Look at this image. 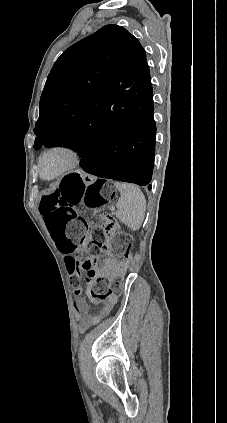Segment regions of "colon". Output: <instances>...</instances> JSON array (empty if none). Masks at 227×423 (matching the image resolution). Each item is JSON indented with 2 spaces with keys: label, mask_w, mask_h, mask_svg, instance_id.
<instances>
[{
  "label": "colon",
  "mask_w": 227,
  "mask_h": 423,
  "mask_svg": "<svg viewBox=\"0 0 227 423\" xmlns=\"http://www.w3.org/2000/svg\"><path fill=\"white\" fill-rule=\"evenodd\" d=\"M115 197V191L107 183L90 182L78 174L66 176L52 192L46 193L40 202L39 210L44 222L56 242L58 249L67 255L65 259L70 274L71 284L76 291L80 289L83 274L88 284V296L94 303H99L117 294L121 280L107 281L97 276L93 264L94 256L107 248V231L116 227L111 214L99 216V224L93 228L88 243L89 256L75 257L79 246L88 237L85 220L78 215L77 207L85 204L98 208ZM110 247L114 259L126 263L131 258V238L123 232L113 235Z\"/></svg>",
  "instance_id": "obj_1"
}]
</instances>
